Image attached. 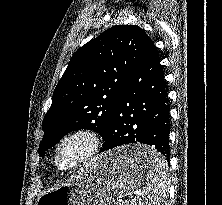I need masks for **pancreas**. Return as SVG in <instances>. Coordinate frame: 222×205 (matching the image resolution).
Segmentation results:
<instances>
[{
	"label": "pancreas",
	"mask_w": 222,
	"mask_h": 205,
	"mask_svg": "<svg viewBox=\"0 0 222 205\" xmlns=\"http://www.w3.org/2000/svg\"><path fill=\"white\" fill-rule=\"evenodd\" d=\"M116 205H132V204L128 202H124V201H119V202H116Z\"/></svg>",
	"instance_id": "1"
}]
</instances>
